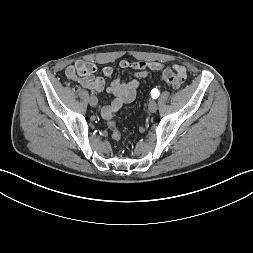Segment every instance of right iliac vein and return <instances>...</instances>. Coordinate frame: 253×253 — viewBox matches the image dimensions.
<instances>
[{
  "instance_id": "obj_1",
  "label": "right iliac vein",
  "mask_w": 253,
  "mask_h": 253,
  "mask_svg": "<svg viewBox=\"0 0 253 253\" xmlns=\"http://www.w3.org/2000/svg\"><path fill=\"white\" fill-rule=\"evenodd\" d=\"M89 104L92 106V107H95L97 106L98 104V99L96 96H91L90 99H89Z\"/></svg>"
}]
</instances>
